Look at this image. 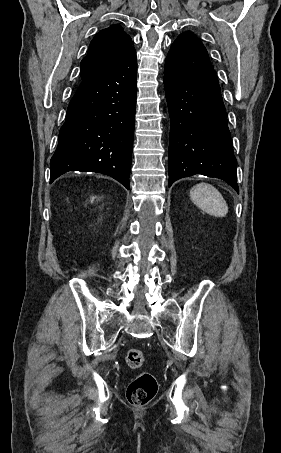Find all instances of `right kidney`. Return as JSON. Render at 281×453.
<instances>
[{
  "mask_svg": "<svg viewBox=\"0 0 281 453\" xmlns=\"http://www.w3.org/2000/svg\"><path fill=\"white\" fill-rule=\"evenodd\" d=\"M94 198H96V196H92V200H94Z\"/></svg>",
  "mask_w": 281,
  "mask_h": 453,
  "instance_id": "right-kidney-1",
  "label": "right kidney"
}]
</instances>
